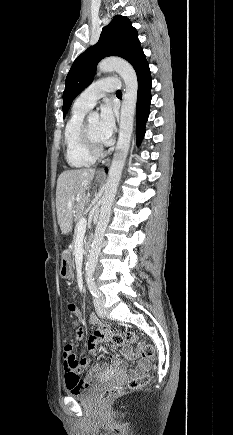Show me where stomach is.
Masks as SVG:
<instances>
[{
    "label": "stomach",
    "mask_w": 233,
    "mask_h": 435,
    "mask_svg": "<svg viewBox=\"0 0 233 435\" xmlns=\"http://www.w3.org/2000/svg\"><path fill=\"white\" fill-rule=\"evenodd\" d=\"M98 180H100L98 178ZM72 262L68 255H63L59 274L64 279H69L72 276Z\"/></svg>",
    "instance_id": "obj_1"
}]
</instances>
